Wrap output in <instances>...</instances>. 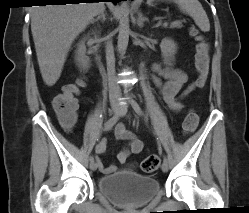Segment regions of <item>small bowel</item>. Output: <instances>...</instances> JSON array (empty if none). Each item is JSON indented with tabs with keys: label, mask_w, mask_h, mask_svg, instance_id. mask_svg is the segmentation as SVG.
I'll list each match as a JSON object with an SVG mask.
<instances>
[{
	"label": "small bowel",
	"mask_w": 249,
	"mask_h": 213,
	"mask_svg": "<svg viewBox=\"0 0 249 213\" xmlns=\"http://www.w3.org/2000/svg\"><path fill=\"white\" fill-rule=\"evenodd\" d=\"M153 82L159 89L161 99L165 105L173 112H180L183 103L180 98L188 95L194 88L195 83H191L179 96L183 85L187 82V74L180 69H163L159 64L153 65ZM76 121V120H75ZM64 128L71 129L75 124H68L61 120ZM114 135L117 140L125 141L127 146L117 154L119 163H125L132 154L136 155L142 152L143 142L129 131L123 123H119L114 128ZM106 151V140L103 139L95 146L96 161L99 169L104 174L112 173L115 170L114 165H104L100 156Z\"/></svg>",
	"instance_id": "obj_1"
}]
</instances>
